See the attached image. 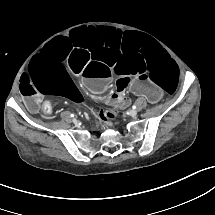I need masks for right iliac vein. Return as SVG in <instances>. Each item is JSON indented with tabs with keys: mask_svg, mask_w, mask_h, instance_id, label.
Instances as JSON below:
<instances>
[{
	"mask_svg": "<svg viewBox=\"0 0 215 215\" xmlns=\"http://www.w3.org/2000/svg\"><path fill=\"white\" fill-rule=\"evenodd\" d=\"M72 121H73L74 123H76V124L78 123V121H77L76 119H73Z\"/></svg>",
	"mask_w": 215,
	"mask_h": 215,
	"instance_id": "1",
	"label": "right iliac vein"
}]
</instances>
